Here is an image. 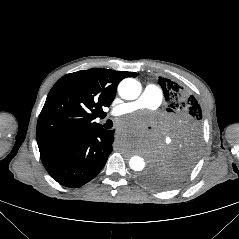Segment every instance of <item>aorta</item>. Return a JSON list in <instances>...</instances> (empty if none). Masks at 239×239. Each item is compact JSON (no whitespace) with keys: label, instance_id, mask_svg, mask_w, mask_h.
Instances as JSON below:
<instances>
[{"label":"aorta","instance_id":"aorta-1","mask_svg":"<svg viewBox=\"0 0 239 239\" xmlns=\"http://www.w3.org/2000/svg\"><path fill=\"white\" fill-rule=\"evenodd\" d=\"M118 92L125 100L137 99L141 93V84L133 78H126L120 82ZM129 165L131 169L141 171L145 167V160L140 156H133L129 160Z\"/></svg>","mask_w":239,"mask_h":239}]
</instances>
